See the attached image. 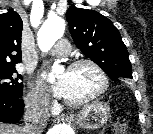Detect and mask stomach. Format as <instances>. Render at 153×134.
I'll return each instance as SVG.
<instances>
[{
    "label": "stomach",
    "instance_id": "1",
    "mask_svg": "<svg viewBox=\"0 0 153 134\" xmlns=\"http://www.w3.org/2000/svg\"><path fill=\"white\" fill-rule=\"evenodd\" d=\"M110 117V107L101 102H93L81 109L76 116L77 125L85 130L101 128Z\"/></svg>",
    "mask_w": 153,
    "mask_h": 134
}]
</instances>
